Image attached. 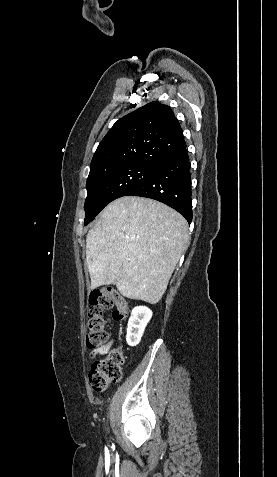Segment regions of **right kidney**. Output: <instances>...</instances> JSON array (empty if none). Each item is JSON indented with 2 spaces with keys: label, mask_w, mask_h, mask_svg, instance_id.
Segmentation results:
<instances>
[{
  "label": "right kidney",
  "mask_w": 277,
  "mask_h": 477,
  "mask_svg": "<svg viewBox=\"0 0 277 477\" xmlns=\"http://www.w3.org/2000/svg\"><path fill=\"white\" fill-rule=\"evenodd\" d=\"M152 311L145 306H137L131 312L128 321L126 341L129 346L140 343L145 327L152 318Z\"/></svg>",
  "instance_id": "ca27d5eb"
}]
</instances>
